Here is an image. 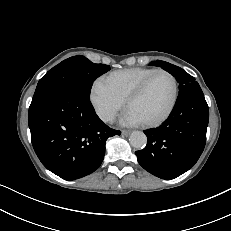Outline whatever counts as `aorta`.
I'll use <instances>...</instances> for the list:
<instances>
[{"label": "aorta", "mask_w": 231, "mask_h": 231, "mask_svg": "<svg viewBox=\"0 0 231 231\" xmlns=\"http://www.w3.org/2000/svg\"><path fill=\"white\" fill-rule=\"evenodd\" d=\"M129 141L135 149H143L147 144V137L141 131H133L129 137Z\"/></svg>", "instance_id": "762f6f07"}]
</instances>
